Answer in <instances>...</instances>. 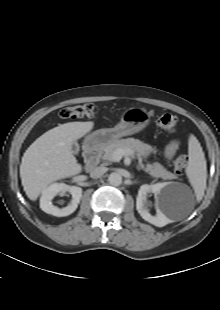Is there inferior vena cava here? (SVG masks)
<instances>
[{
    "instance_id": "1",
    "label": "inferior vena cava",
    "mask_w": 220,
    "mask_h": 310,
    "mask_svg": "<svg viewBox=\"0 0 220 310\" xmlns=\"http://www.w3.org/2000/svg\"><path fill=\"white\" fill-rule=\"evenodd\" d=\"M107 171V168L106 167H103V166H99V167H96L95 169H93L90 173V176L92 178H99L101 177L104 173H106Z\"/></svg>"
}]
</instances>
